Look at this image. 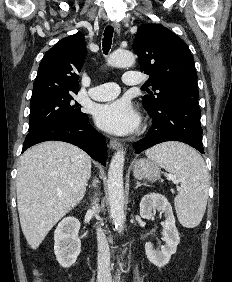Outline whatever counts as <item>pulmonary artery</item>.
<instances>
[{"instance_id":"1","label":"pulmonary artery","mask_w":232,"mask_h":282,"mask_svg":"<svg viewBox=\"0 0 232 282\" xmlns=\"http://www.w3.org/2000/svg\"><path fill=\"white\" fill-rule=\"evenodd\" d=\"M123 82L128 86H136L142 83V77L138 72L127 71L123 75ZM120 93L119 86L114 82H107L94 86L89 90V96L97 101H109Z\"/></svg>"}]
</instances>
